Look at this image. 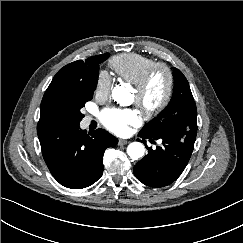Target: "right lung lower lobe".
Returning <instances> with one entry per match:
<instances>
[{
	"label": "right lung lower lobe",
	"mask_w": 243,
	"mask_h": 243,
	"mask_svg": "<svg viewBox=\"0 0 243 243\" xmlns=\"http://www.w3.org/2000/svg\"><path fill=\"white\" fill-rule=\"evenodd\" d=\"M43 158L54 178L63 186L81 189L95 183L103 173V153L117 139L97 129L86 133L77 125L37 126Z\"/></svg>",
	"instance_id": "right-lung-lower-lobe-1"
}]
</instances>
